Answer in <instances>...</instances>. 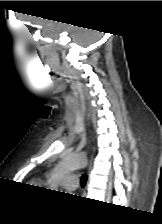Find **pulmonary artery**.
<instances>
[{
    "label": "pulmonary artery",
    "instance_id": "obj_1",
    "mask_svg": "<svg viewBox=\"0 0 162 224\" xmlns=\"http://www.w3.org/2000/svg\"><path fill=\"white\" fill-rule=\"evenodd\" d=\"M79 185V179L76 175H70L64 181V186L69 190H75Z\"/></svg>",
    "mask_w": 162,
    "mask_h": 224
}]
</instances>
